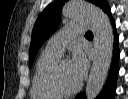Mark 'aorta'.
Listing matches in <instances>:
<instances>
[{
	"mask_svg": "<svg viewBox=\"0 0 128 99\" xmlns=\"http://www.w3.org/2000/svg\"><path fill=\"white\" fill-rule=\"evenodd\" d=\"M63 14L71 19H88L95 31V57L86 85V97L95 99L106 80L111 64L114 36L108 16L97 6L85 0H70Z\"/></svg>",
	"mask_w": 128,
	"mask_h": 99,
	"instance_id": "1",
	"label": "aorta"
}]
</instances>
